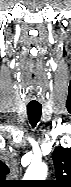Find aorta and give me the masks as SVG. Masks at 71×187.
Masks as SVG:
<instances>
[{"mask_svg":"<svg viewBox=\"0 0 71 187\" xmlns=\"http://www.w3.org/2000/svg\"><path fill=\"white\" fill-rule=\"evenodd\" d=\"M48 172V167L45 163H32L24 178L27 180H45Z\"/></svg>","mask_w":71,"mask_h":187,"instance_id":"obj_1","label":"aorta"}]
</instances>
